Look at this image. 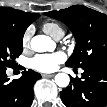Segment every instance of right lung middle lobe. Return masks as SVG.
Returning a JSON list of instances; mask_svg holds the SVG:
<instances>
[{"mask_svg":"<svg viewBox=\"0 0 107 107\" xmlns=\"http://www.w3.org/2000/svg\"><path fill=\"white\" fill-rule=\"evenodd\" d=\"M26 28L0 15V68L12 67L14 59L22 53V40Z\"/></svg>","mask_w":107,"mask_h":107,"instance_id":"dd1d6c3e","label":"right lung middle lobe"}]
</instances>
